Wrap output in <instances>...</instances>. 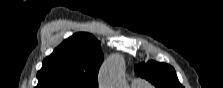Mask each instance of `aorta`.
<instances>
[{
	"label": "aorta",
	"mask_w": 223,
	"mask_h": 88,
	"mask_svg": "<svg viewBox=\"0 0 223 88\" xmlns=\"http://www.w3.org/2000/svg\"><path fill=\"white\" fill-rule=\"evenodd\" d=\"M125 62L120 54H112L103 63L99 73L101 88H124Z\"/></svg>",
	"instance_id": "aorta-1"
}]
</instances>
